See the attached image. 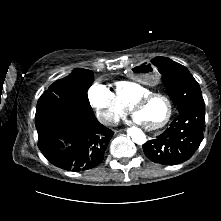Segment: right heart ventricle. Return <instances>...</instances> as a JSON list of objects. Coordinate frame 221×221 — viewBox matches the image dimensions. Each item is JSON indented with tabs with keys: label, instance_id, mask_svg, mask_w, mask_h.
Wrapping results in <instances>:
<instances>
[{
	"label": "right heart ventricle",
	"instance_id": "e07e8e85",
	"mask_svg": "<svg viewBox=\"0 0 221 221\" xmlns=\"http://www.w3.org/2000/svg\"><path fill=\"white\" fill-rule=\"evenodd\" d=\"M150 92V89L133 80H122L115 83V94L125 107H130L137 98Z\"/></svg>",
	"mask_w": 221,
	"mask_h": 221
}]
</instances>
